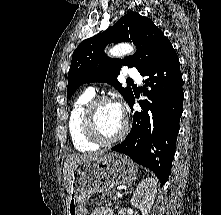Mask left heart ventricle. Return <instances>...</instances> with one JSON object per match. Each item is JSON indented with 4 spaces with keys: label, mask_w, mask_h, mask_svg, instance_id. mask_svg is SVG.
<instances>
[{
    "label": "left heart ventricle",
    "mask_w": 221,
    "mask_h": 215,
    "mask_svg": "<svg viewBox=\"0 0 221 215\" xmlns=\"http://www.w3.org/2000/svg\"><path fill=\"white\" fill-rule=\"evenodd\" d=\"M123 124V119L120 118L112 103H104L98 106L96 110V125L99 132L106 136L111 137L116 135Z\"/></svg>",
    "instance_id": "left-heart-ventricle-1"
}]
</instances>
